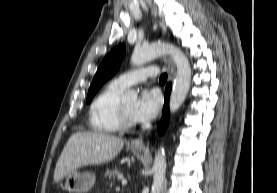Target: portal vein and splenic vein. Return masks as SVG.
I'll use <instances>...</instances> for the list:
<instances>
[{
    "label": "portal vein and splenic vein",
    "mask_w": 277,
    "mask_h": 193,
    "mask_svg": "<svg viewBox=\"0 0 277 193\" xmlns=\"http://www.w3.org/2000/svg\"><path fill=\"white\" fill-rule=\"evenodd\" d=\"M127 182H128L127 179H125V178L122 179V185H126Z\"/></svg>",
    "instance_id": "18ae733b"
}]
</instances>
